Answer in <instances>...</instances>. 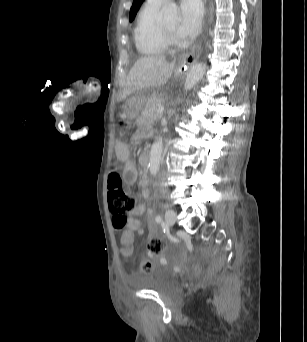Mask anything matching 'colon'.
<instances>
[{"mask_svg":"<svg viewBox=\"0 0 307 342\" xmlns=\"http://www.w3.org/2000/svg\"><path fill=\"white\" fill-rule=\"evenodd\" d=\"M120 124H125V119L120 116ZM108 201L113 218V226L120 230L123 229L127 223L129 214L134 211L136 202L126 193L122 178L117 169H113L108 179ZM133 231L128 227L124 235L118 236L120 254H133ZM166 249V244L158 239H151L147 243V250L150 255L158 256ZM153 261L150 259L144 260L139 266V273L148 274L152 271ZM195 273H201L202 267L195 266Z\"/></svg>","mask_w":307,"mask_h":342,"instance_id":"colon-1","label":"colon"}]
</instances>
